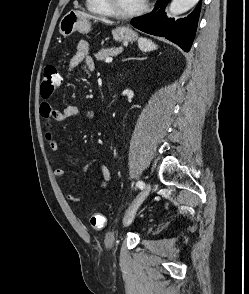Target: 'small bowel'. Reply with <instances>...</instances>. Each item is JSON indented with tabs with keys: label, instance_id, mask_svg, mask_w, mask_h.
I'll use <instances>...</instances> for the list:
<instances>
[{
	"label": "small bowel",
	"instance_id": "small-bowel-1",
	"mask_svg": "<svg viewBox=\"0 0 249 294\" xmlns=\"http://www.w3.org/2000/svg\"><path fill=\"white\" fill-rule=\"evenodd\" d=\"M83 63L88 70L94 69V62L90 56V46L87 41H80L76 46V50L69 62V68L72 69L75 66ZM40 114L44 118L47 131L46 141L54 154L58 153L59 145L52 132V126L54 122H62L69 118H85L92 119L94 112L89 108H82L74 104L66 105L62 110H58L50 102H42L40 105ZM97 165L102 174V180L99 184V188L105 189L111 183V172L107 165L98 159H92L83 167V174L88 177L90 168ZM54 176L59 184L66 185V176L63 169H54ZM95 189L94 186H92ZM67 198L73 203H80L83 200L82 196L75 194H68Z\"/></svg>",
	"mask_w": 249,
	"mask_h": 294
}]
</instances>
